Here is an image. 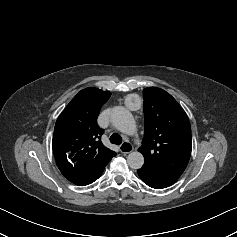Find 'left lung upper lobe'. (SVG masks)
Masks as SVG:
<instances>
[{
	"instance_id": "5c2ea615",
	"label": "left lung upper lobe",
	"mask_w": 237,
	"mask_h": 237,
	"mask_svg": "<svg viewBox=\"0 0 237 237\" xmlns=\"http://www.w3.org/2000/svg\"><path fill=\"white\" fill-rule=\"evenodd\" d=\"M144 138L139 151L144 165L180 177L191 155V127L182 107L166 91L143 90Z\"/></svg>"
}]
</instances>
